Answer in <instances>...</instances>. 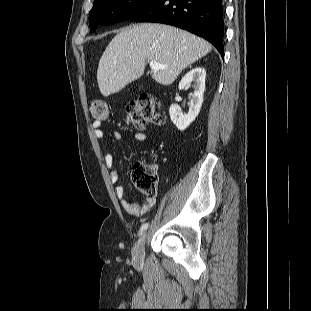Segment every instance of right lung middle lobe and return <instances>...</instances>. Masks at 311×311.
<instances>
[{
	"label": "right lung middle lobe",
	"mask_w": 311,
	"mask_h": 311,
	"mask_svg": "<svg viewBox=\"0 0 311 311\" xmlns=\"http://www.w3.org/2000/svg\"><path fill=\"white\" fill-rule=\"evenodd\" d=\"M156 0H97L89 12L90 31L98 24L108 25L129 19Z\"/></svg>",
	"instance_id": "dd1d6c3e"
}]
</instances>
